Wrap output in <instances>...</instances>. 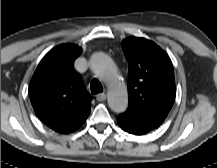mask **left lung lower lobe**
<instances>
[{"label": "left lung lower lobe", "instance_id": "1", "mask_svg": "<svg viewBox=\"0 0 217 168\" xmlns=\"http://www.w3.org/2000/svg\"><path fill=\"white\" fill-rule=\"evenodd\" d=\"M117 122L119 124V126L126 132L131 133V134H135V135H144L150 131H145L143 129L137 128L135 126H132L130 124H128L127 122L123 121L122 119H120L119 117L117 118Z\"/></svg>", "mask_w": 217, "mask_h": 168}]
</instances>
